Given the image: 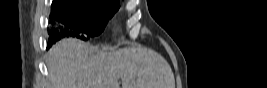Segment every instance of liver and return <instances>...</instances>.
Here are the masks:
<instances>
[{
  "label": "liver",
  "instance_id": "obj_1",
  "mask_svg": "<svg viewBox=\"0 0 267 88\" xmlns=\"http://www.w3.org/2000/svg\"><path fill=\"white\" fill-rule=\"evenodd\" d=\"M52 88H175L174 74L158 53L141 46L106 53L66 38L46 54Z\"/></svg>",
  "mask_w": 267,
  "mask_h": 88
}]
</instances>
